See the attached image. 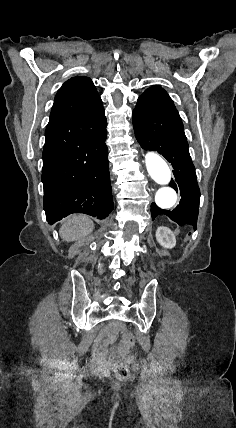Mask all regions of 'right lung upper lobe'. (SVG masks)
<instances>
[{
    "mask_svg": "<svg viewBox=\"0 0 236 428\" xmlns=\"http://www.w3.org/2000/svg\"><path fill=\"white\" fill-rule=\"evenodd\" d=\"M102 108L101 98L91 79L76 76L66 81L57 92L49 123L90 115Z\"/></svg>",
    "mask_w": 236,
    "mask_h": 428,
    "instance_id": "obj_1",
    "label": "right lung upper lobe"
}]
</instances>
